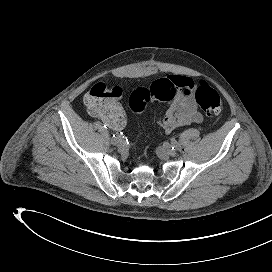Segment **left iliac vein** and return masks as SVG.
Returning a JSON list of instances; mask_svg holds the SVG:
<instances>
[{"label":"left iliac vein","instance_id":"1","mask_svg":"<svg viewBox=\"0 0 272 272\" xmlns=\"http://www.w3.org/2000/svg\"><path fill=\"white\" fill-rule=\"evenodd\" d=\"M161 150L163 154L170 157H174L177 154L176 151L173 150L169 144L164 145Z\"/></svg>","mask_w":272,"mask_h":272}]
</instances>
